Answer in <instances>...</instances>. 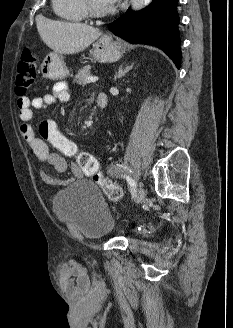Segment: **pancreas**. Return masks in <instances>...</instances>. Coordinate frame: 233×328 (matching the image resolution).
Listing matches in <instances>:
<instances>
[{"mask_svg": "<svg viewBox=\"0 0 233 328\" xmlns=\"http://www.w3.org/2000/svg\"><path fill=\"white\" fill-rule=\"evenodd\" d=\"M91 67L89 65L84 66L82 69L78 71V74L74 78V82L80 85H85L87 77L91 76L90 73Z\"/></svg>", "mask_w": 233, "mask_h": 328, "instance_id": "pancreas-1", "label": "pancreas"}]
</instances>
